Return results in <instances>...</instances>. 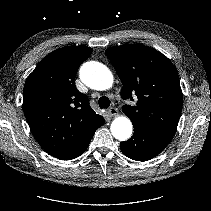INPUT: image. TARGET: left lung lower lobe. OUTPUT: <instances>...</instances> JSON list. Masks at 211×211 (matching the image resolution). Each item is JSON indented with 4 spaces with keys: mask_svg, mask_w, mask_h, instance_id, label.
<instances>
[{
    "mask_svg": "<svg viewBox=\"0 0 211 211\" xmlns=\"http://www.w3.org/2000/svg\"><path fill=\"white\" fill-rule=\"evenodd\" d=\"M175 131L134 126L133 136L120 143L122 152L137 161L150 160L170 143Z\"/></svg>",
    "mask_w": 211,
    "mask_h": 211,
    "instance_id": "1",
    "label": "left lung lower lobe"
}]
</instances>
